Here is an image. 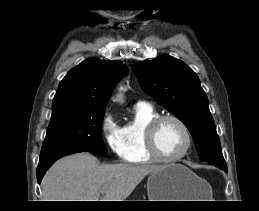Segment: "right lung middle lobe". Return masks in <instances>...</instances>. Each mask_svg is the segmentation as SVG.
<instances>
[{"mask_svg": "<svg viewBox=\"0 0 259 211\" xmlns=\"http://www.w3.org/2000/svg\"><path fill=\"white\" fill-rule=\"evenodd\" d=\"M104 112L75 108L51 117L39 161L66 151L107 152L101 130Z\"/></svg>", "mask_w": 259, "mask_h": 211, "instance_id": "dd1d6c3e", "label": "right lung middle lobe"}]
</instances>
